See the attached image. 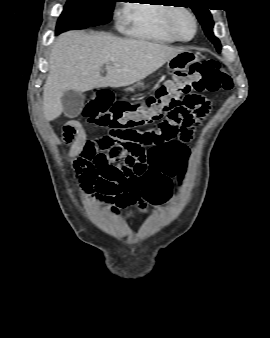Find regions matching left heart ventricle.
<instances>
[{
  "label": "left heart ventricle",
  "instance_id": "1",
  "mask_svg": "<svg viewBox=\"0 0 270 338\" xmlns=\"http://www.w3.org/2000/svg\"><path fill=\"white\" fill-rule=\"evenodd\" d=\"M177 31L180 36L187 38L193 33V24L191 19L186 15H181L177 19Z\"/></svg>",
  "mask_w": 270,
  "mask_h": 338
}]
</instances>
